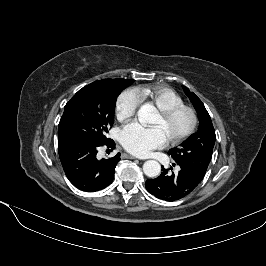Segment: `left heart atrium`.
Here are the masks:
<instances>
[{
  "label": "left heart atrium",
  "instance_id": "obj_1",
  "mask_svg": "<svg viewBox=\"0 0 266 266\" xmlns=\"http://www.w3.org/2000/svg\"><path fill=\"white\" fill-rule=\"evenodd\" d=\"M167 141L168 137L160 127H144L136 122L126 125L120 133L122 146L140 157H146L153 150L162 148Z\"/></svg>",
  "mask_w": 266,
  "mask_h": 266
}]
</instances>
